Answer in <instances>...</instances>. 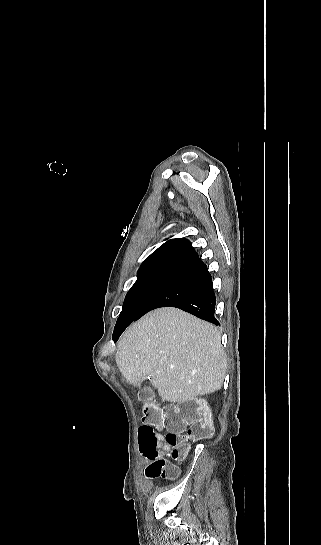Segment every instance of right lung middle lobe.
Returning <instances> with one entry per match:
<instances>
[{
    "instance_id": "dd1d6c3e",
    "label": "right lung middle lobe",
    "mask_w": 321,
    "mask_h": 545,
    "mask_svg": "<svg viewBox=\"0 0 321 545\" xmlns=\"http://www.w3.org/2000/svg\"><path fill=\"white\" fill-rule=\"evenodd\" d=\"M173 271L175 269L166 267L139 269L137 280L125 297L117 322L121 323L135 317Z\"/></svg>"
}]
</instances>
